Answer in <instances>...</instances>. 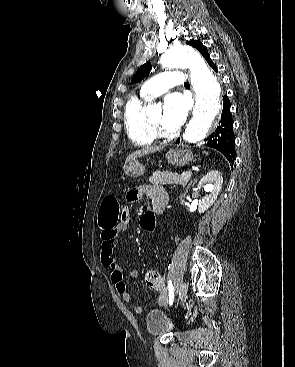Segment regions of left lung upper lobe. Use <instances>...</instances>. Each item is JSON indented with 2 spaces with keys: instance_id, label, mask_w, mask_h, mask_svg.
Here are the masks:
<instances>
[{
  "instance_id": "1",
  "label": "left lung upper lobe",
  "mask_w": 295,
  "mask_h": 367,
  "mask_svg": "<svg viewBox=\"0 0 295 367\" xmlns=\"http://www.w3.org/2000/svg\"><path fill=\"white\" fill-rule=\"evenodd\" d=\"M186 44L192 45L196 49L200 51V53L205 57L207 61L210 59V54L208 53L207 48L200 42V40H190L187 41ZM151 64L149 62H146L144 65H142L137 72L134 74L131 83H137L147 77L151 71Z\"/></svg>"
}]
</instances>
